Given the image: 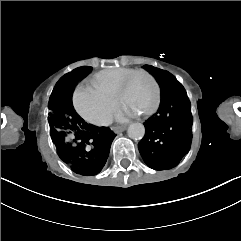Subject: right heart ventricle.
<instances>
[{
  "instance_id": "right-heart-ventricle-1",
  "label": "right heart ventricle",
  "mask_w": 241,
  "mask_h": 241,
  "mask_svg": "<svg viewBox=\"0 0 241 241\" xmlns=\"http://www.w3.org/2000/svg\"><path fill=\"white\" fill-rule=\"evenodd\" d=\"M129 71H133V69L121 68V67H109L86 78L82 82V86L88 87L89 84H94L97 87H99L102 93L111 92L113 97V95L117 93V89H118L117 85L120 83V80ZM106 98L108 99V97Z\"/></svg>"
}]
</instances>
